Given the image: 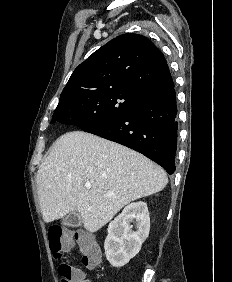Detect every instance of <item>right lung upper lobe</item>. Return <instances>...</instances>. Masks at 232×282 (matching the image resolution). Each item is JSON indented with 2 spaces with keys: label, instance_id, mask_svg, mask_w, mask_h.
<instances>
[{
  "label": "right lung upper lobe",
  "instance_id": "right-lung-upper-lobe-1",
  "mask_svg": "<svg viewBox=\"0 0 232 282\" xmlns=\"http://www.w3.org/2000/svg\"><path fill=\"white\" fill-rule=\"evenodd\" d=\"M173 84L161 51L145 36L127 33L112 39L74 70L60 101L111 89L147 97Z\"/></svg>",
  "mask_w": 232,
  "mask_h": 282
}]
</instances>
